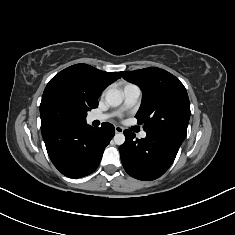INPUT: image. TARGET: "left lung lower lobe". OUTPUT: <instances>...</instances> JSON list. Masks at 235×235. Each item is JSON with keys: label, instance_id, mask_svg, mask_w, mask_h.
Returning a JSON list of instances; mask_svg holds the SVG:
<instances>
[{"label": "left lung lower lobe", "instance_id": "1", "mask_svg": "<svg viewBox=\"0 0 235 235\" xmlns=\"http://www.w3.org/2000/svg\"><path fill=\"white\" fill-rule=\"evenodd\" d=\"M146 138L124 130L125 143L119 147L125 171L132 177L151 181L162 176L173 163L182 140L167 134L146 132Z\"/></svg>", "mask_w": 235, "mask_h": 235}]
</instances>
